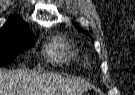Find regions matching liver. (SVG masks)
Wrapping results in <instances>:
<instances>
[{
	"instance_id": "liver-1",
	"label": "liver",
	"mask_w": 135,
	"mask_h": 95,
	"mask_svg": "<svg viewBox=\"0 0 135 95\" xmlns=\"http://www.w3.org/2000/svg\"><path fill=\"white\" fill-rule=\"evenodd\" d=\"M87 86L57 74L0 69V95H81Z\"/></svg>"
}]
</instances>
